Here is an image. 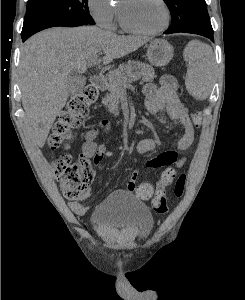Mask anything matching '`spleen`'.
Returning a JSON list of instances; mask_svg holds the SVG:
<instances>
[{
	"label": "spleen",
	"instance_id": "3e777b00",
	"mask_svg": "<svg viewBox=\"0 0 245 300\" xmlns=\"http://www.w3.org/2000/svg\"><path fill=\"white\" fill-rule=\"evenodd\" d=\"M188 62L185 86L189 94L198 100L206 99L211 92L213 52L209 45L190 42L185 49Z\"/></svg>",
	"mask_w": 245,
	"mask_h": 300
}]
</instances>
